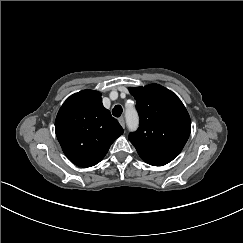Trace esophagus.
Segmentation results:
<instances>
[{
    "label": "esophagus",
    "mask_w": 243,
    "mask_h": 243,
    "mask_svg": "<svg viewBox=\"0 0 243 243\" xmlns=\"http://www.w3.org/2000/svg\"><path fill=\"white\" fill-rule=\"evenodd\" d=\"M118 121H119L120 125L124 128L125 127V121H124L123 117H120L118 119Z\"/></svg>",
    "instance_id": "esophagus-1"
}]
</instances>
